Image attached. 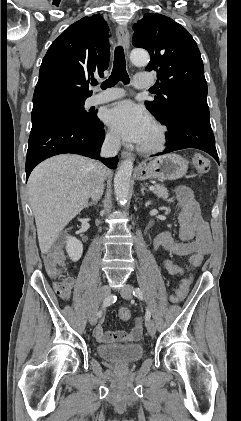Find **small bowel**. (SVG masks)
<instances>
[{"label":"small bowel","instance_id":"c3829d8e","mask_svg":"<svg viewBox=\"0 0 241 421\" xmlns=\"http://www.w3.org/2000/svg\"><path fill=\"white\" fill-rule=\"evenodd\" d=\"M179 214V228L181 242H175L168 232L160 233L155 241L154 248H163L164 250L178 256L191 257L196 254L205 255L211 249V234L208 224L201 216L200 208L194 199L192 191L184 186L175 189ZM73 281L61 287H57L56 291L63 299H69L71 295ZM172 302H178L175 295L171 296ZM143 330V320L138 317L134 320L132 329L125 331H105L100 324L94 328V336L101 343H132L137 342Z\"/></svg>","mask_w":241,"mask_h":421}]
</instances>
